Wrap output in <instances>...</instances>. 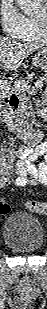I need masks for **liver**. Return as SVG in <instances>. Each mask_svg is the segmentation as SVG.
Instances as JSON below:
<instances>
[{"instance_id":"obj_1","label":"liver","mask_w":47,"mask_h":309,"mask_svg":"<svg viewBox=\"0 0 47 309\" xmlns=\"http://www.w3.org/2000/svg\"><path fill=\"white\" fill-rule=\"evenodd\" d=\"M40 46L35 43H20L5 37L0 38V67L4 71H16L23 60Z\"/></svg>"}]
</instances>
